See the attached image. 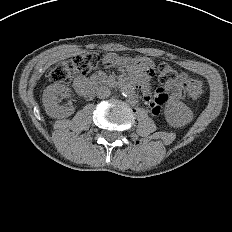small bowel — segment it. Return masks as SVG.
Listing matches in <instances>:
<instances>
[{
	"mask_svg": "<svg viewBox=\"0 0 232 232\" xmlns=\"http://www.w3.org/2000/svg\"><path fill=\"white\" fill-rule=\"evenodd\" d=\"M103 63L106 67L113 69L117 66L118 61L114 56L108 55L104 58ZM132 65L135 69L141 71L143 76L146 78L151 77L153 74V64L148 59L137 57L133 60ZM82 81H85V79L82 77L78 78L75 81V86ZM190 81H193V79H191L187 74L181 73L171 84L167 85L166 87L158 88L154 97H152L150 93L148 83L144 82L146 84V88L143 90L144 99L151 112L158 114L162 105L168 100H177L183 98L184 93L186 92V86Z\"/></svg>",
	"mask_w": 232,
	"mask_h": 232,
	"instance_id": "obj_1",
	"label": "small bowel"
}]
</instances>
